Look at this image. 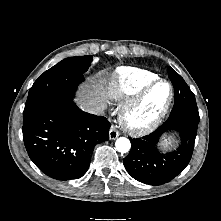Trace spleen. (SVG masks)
Instances as JSON below:
<instances>
[{
    "mask_svg": "<svg viewBox=\"0 0 221 221\" xmlns=\"http://www.w3.org/2000/svg\"><path fill=\"white\" fill-rule=\"evenodd\" d=\"M172 143L171 139H165L164 142L162 143L163 146H168Z\"/></svg>",
    "mask_w": 221,
    "mask_h": 221,
    "instance_id": "spleen-1",
    "label": "spleen"
}]
</instances>
